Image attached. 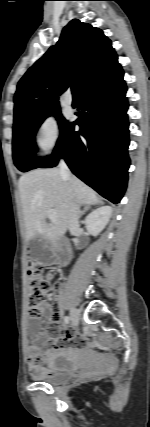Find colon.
<instances>
[{
    "instance_id": "colon-1",
    "label": "colon",
    "mask_w": 150,
    "mask_h": 427,
    "mask_svg": "<svg viewBox=\"0 0 150 427\" xmlns=\"http://www.w3.org/2000/svg\"><path fill=\"white\" fill-rule=\"evenodd\" d=\"M53 275L45 272L36 262H30L28 266V303L34 318L40 316L43 302L53 291ZM51 310V309H50Z\"/></svg>"
}]
</instances>
